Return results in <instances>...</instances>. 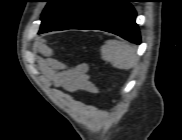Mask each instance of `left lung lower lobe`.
I'll return each instance as SVG.
<instances>
[{"mask_svg":"<svg viewBox=\"0 0 182 140\" xmlns=\"http://www.w3.org/2000/svg\"><path fill=\"white\" fill-rule=\"evenodd\" d=\"M135 18L136 11L129 0H106L68 29L108 31L132 43L140 44V33Z\"/></svg>","mask_w":182,"mask_h":140,"instance_id":"left-lung-lower-lobe-1","label":"left lung lower lobe"}]
</instances>
